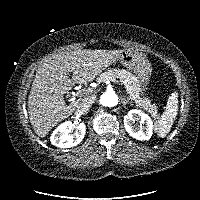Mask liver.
Wrapping results in <instances>:
<instances>
[{
  "mask_svg": "<svg viewBox=\"0 0 200 200\" xmlns=\"http://www.w3.org/2000/svg\"><path fill=\"white\" fill-rule=\"evenodd\" d=\"M123 50L78 49L61 52L46 60L37 70L28 97V113L35 133L44 138L49 131L68 118L83 98L66 105L64 94L74 84L93 81L114 63ZM72 72V79L68 74Z\"/></svg>",
  "mask_w": 200,
  "mask_h": 200,
  "instance_id": "liver-1",
  "label": "liver"
}]
</instances>
